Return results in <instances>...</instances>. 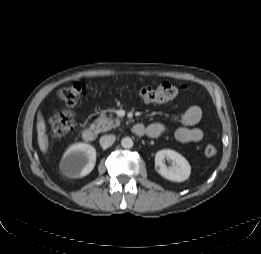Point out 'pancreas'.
I'll return each instance as SVG.
<instances>
[{
    "label": "pancreas",
    "instance_id": "cf45deb5",
    "mask_svg": "<svg viewBox=\"0 0 261 254\" xmlns=\"http://www.w3.org/2000/svg\"><path fill=\"white\" fill-rule=\"evenodd\" d=\"M120 125L119 119H112L111 117H106L105 114H101L93 124L96 132H105L111 130Z\"/></svg>",
    "mask_w": 261,
    "mask_h": 254
}]
</instances>
